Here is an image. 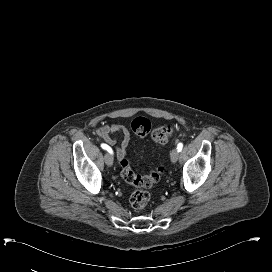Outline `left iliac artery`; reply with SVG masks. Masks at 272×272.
Returning <instances> with one entry per match:
<instances>
[{"mask_svg":"<svg viewBox=\"0 0 272 272\" xmlns=\"http://www.w3.org/2000/svg\"><path fill=\"white\" fill-rule=\"evenodd\" d=\"M182 148H183V144H182V143H179V144L177 145V150H178V152H180V151L182 150Z\"/></svg>","mask_w":272,"mask_h":272,"instance_id":"1","label":"left iliac artery"}]
</instances>
